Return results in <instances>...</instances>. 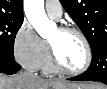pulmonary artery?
Masks as SVG:
<instances>
[{"instance_id": "1", "label": "pulmonary artery", "mask_w": 107, "mask_h": 89, "mask_svg": "<svg viewBox=\"0 0 107 89\" xmlns=\"http://www.w3.org/2000/svg\"><path fill=\"white\" fill-rule=\"evenodd\" d=\"M45 10L47 15L53 19H60L63 13L62 6L57 0H47Z\"/></svg>"}]
</instances>
